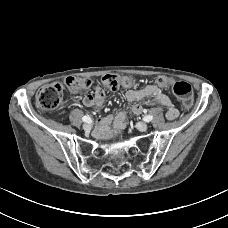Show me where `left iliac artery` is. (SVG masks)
<instances>
[{"label": "left iliac artery", "mask_w": 228, "mask_h": 228, "mask_svg": "<svg viewBox=\"0 0 228 228\" xmlns=\"http://www.w3.org/2000/svg\"><path fill=\"white\" fill-rule=\"evenodd\" d=\"M152 119H153V116H151V115H147L144 117L145 122H150V121H152Z\"/></svg>", "instance_id": "44dca946"}]
</instances>
